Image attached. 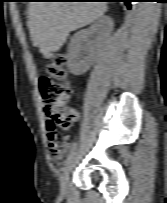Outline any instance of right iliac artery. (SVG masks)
Wrapping results in <instances>:
<instances>
[{"label":"right iliac artery","mask_w":167,"mask_h":203,"mask_svg":"<svg viewBox=\"0 0 167 203\" xmlns=\"http://www.w3.org/2000/svg\"><path fill=\"white\" fill-rule=\"evenodd\" d=\"M76 142H74L69 150V153L67 155L66 160L64 161V165H67L68 161L70 160V158L74 155L75 149H76Z\"/></svg>","instance_id":"1"}]
</instances>
